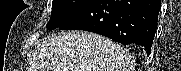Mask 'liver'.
<instances>
[{"mask_svg":"<svg viewBox=\"0 0 181 71\" xmlns=\"http://www.w3.org/2000/svg\"><path fill=\"white\" fill-rule=\"evenodd\" d=\"M30 71H133L129 51L110 39L84 31L53 34L33 53Z\"/></svg>","mask_w":181,"mask_h":71,"instance_id":"liver-1","label":"liver"}]
</instances>
